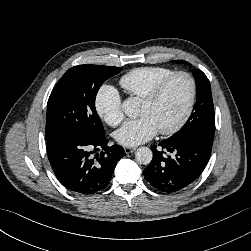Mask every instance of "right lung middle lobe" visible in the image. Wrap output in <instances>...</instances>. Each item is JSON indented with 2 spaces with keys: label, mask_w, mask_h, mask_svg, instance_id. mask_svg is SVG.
I'll list each match as a JSON object with an SVG mask.
<instances>
[{
  "label": "right lung middle lobe",
  "mask_w": 251,
  "mask_h": 251,
  "mask_svg": "<svg viewBox=\"0 0 251 251\" xmlns=\"http://www.w3.org/2000/svg\"><path fill=\"white\" fill-rule=\"evenodd\" d=\"M122 67L78 65L70 68L53 88L48 103L45 139L66 131H82L103 136L104 128L96 112V94L107 79Z\"/></svg>",
  "instance_id": "1"
}]
</instances>
